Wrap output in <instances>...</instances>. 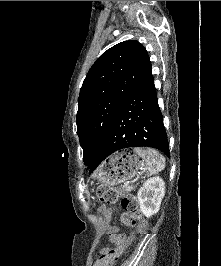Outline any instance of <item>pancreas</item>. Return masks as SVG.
I'll use <instances>...</instances> for the list:
<instances>
[{
	"label": "pancreas",
	"mask_w": 221,
	"mask_h": 266,
	"mask_svg": "<svg viewBox=\"0 0 221 266\" xmlns=\"http://www.w3.org/2000/svg\"><path fill=\"white\" fill-rule=\"evenodd\" d=\"M122 188L125 189L127 192L132 190V187L127 185H124Z\"/></svg>",
	"instance_id": "obj_1"
}]
</instances>
